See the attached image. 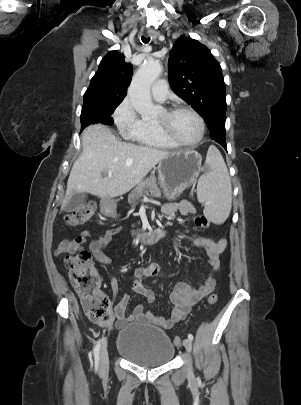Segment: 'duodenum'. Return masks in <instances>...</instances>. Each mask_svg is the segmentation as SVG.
<instances>
[{
	"label": "duodenum",
	"mask_w": 301,
	"mask_h": 405,
	"mask_svg": "<svg viewBox=\"0 0 301 405\" xmlns=\"http://www.w3.org/2000/svg\"><path fill=\"white\" fill-rule=\"evenodd\" d=\"M100 206L102 207V211L104 212L105 219H112L113 212L115 211V206L113 205V201L111 198L102 199L100 201ZM167 235V231L162 228H156L151 231L142 233L140 235V240L144 244H153L159 241L160 239L164 238Z\"/></svg>",
	"instance_id": "410a0bca"
}]
</instances>
